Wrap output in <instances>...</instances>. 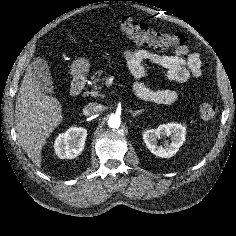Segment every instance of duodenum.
I'll use <instances>...</instances> for the list:
<instances>
[{
	"mask_svg": "<svg viewBox=\"0 0 236 236\" xmlns=\"http://www.w3.org/2000/svg\"><path fill=\"white\" fill-rule=\"evenodd\" d=\"M85 87V81L83 78H76L73 80L70 87V94L73 97L81 95Z\"/></svg>",
	"mask_w": 236,
	"mask_h": 236,
	"instance_id": "1",
	"label": "duodenum"
}]
</instances>
